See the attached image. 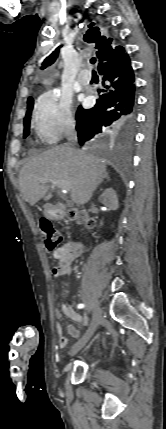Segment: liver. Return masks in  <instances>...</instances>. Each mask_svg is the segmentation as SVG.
<instances>
[{
  "label": "liver",
  "instance_id": "6515ba94",
  "mask_svg": "<svg viewBox=\"0 0 166 429\" xmlns=\"http://www.w3.org/2000/svg\"><path fill=\"white\" fill-rule=\"evenodd\" d=\"M106 175L105 160L69 145L56 146L27 160L19 173V189L33 206L52 197L47 182L68 181L72 202L83 205Z\"/></svg>",
  "mask_w": 166,
  "mask_h": 429
}]
</instances>
